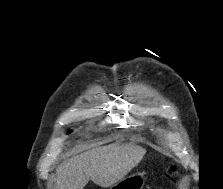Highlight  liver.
<instances>
[{
	"label": "liver",
	"mask_w": 223,
	"mask_h": 189,
	"mask_svg": "<svg viewBox=\"0 0 223 189\" xmlns=\"http://www.w3.org/2000/svg\"><path fill=\"white\" fill-rule=\"evenodd\" d=\"M134 145L110 144L65 160L56 170L54 189H83L89 180L107 188L124 178L144 157Z\"/></svg>",
	"instance_id": "1"
}]
</instances>
